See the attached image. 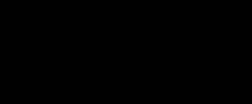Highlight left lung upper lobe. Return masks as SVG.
<instances>
[{"label":"left lung upper lobe","mask_w":252,"mask_h":104,"mask_svg":"<svg viewBox=\"0 0 252 104\" xmlns=\"http://www.w3.org/2000/svg\"><path fill=\"white\" fill-rule=\"evenodd\" d=\"M192 66L182 73L183 78L205 77L214 74V63L212 58L203 46H195Z\"/></svg>","instance_id":"5c2ea615"}]
</instances>
